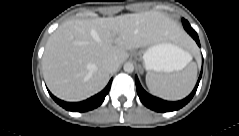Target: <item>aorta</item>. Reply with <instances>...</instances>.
I'll return each instance as SVG.
<instances>
[{
    "label": "aorta",
    "instance_id": "1",
    "mask_svg": "<svg viewBox=\"0 0 239 136\" xmlns=\"http://www.w3.org/2000/svg\"><path fill=\"white\" fill-rule=\"evenodd\" d=\"M123 69L127 73H132L134 71V65L130 62H127V63L124 64Z\"/></svg>",
    "mask_w": 239,
    "mask_h": 136
}]
</instances>
